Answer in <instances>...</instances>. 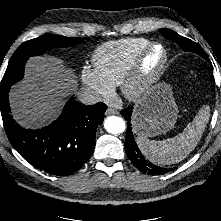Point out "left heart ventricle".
Instances as JSON below:
<instances>
[{
	"label": "left heart ventricle",
	"mask_w": 221,
	"mask_h": 221,
	"mask_svg": "<svg viewBox=\"0 0 221 221\" xmlns=\"http://www.w3.org/2000/svg\"><path fill=\"white\" fill-rule=\"evenodd\" d=\"M162 57V51L160 48H155L146 58L144 62V72L146 74L151 73L158 65Z\"/></svg>",
	"instance_id": "obj_1"
}]
</instances>
